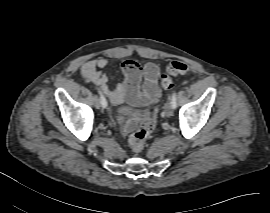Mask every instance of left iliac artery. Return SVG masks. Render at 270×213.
I'll return each instance as SVG.
<instances>
[{
	"label": "left iliac artery",
	"instance_id": "1",
	"mask_svg": "<svg viewBox=\"0 0 270 213\" xmlns=\"http://www.w3.org/2000/svg\"><path fill=\"white\" fill-rule=\"evenodd\" d=\"M170 100H171L170 103H171L172 108L176 109L177 108V101H176V92L175 91L173 92Z\"/></svg>",
	"mask_w": 270,
	"mask_h": 213
}]
</instances>
